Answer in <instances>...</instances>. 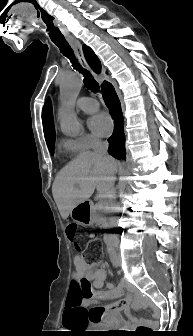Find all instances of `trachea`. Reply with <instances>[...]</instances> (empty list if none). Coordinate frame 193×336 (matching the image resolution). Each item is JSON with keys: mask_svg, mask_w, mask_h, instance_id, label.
Instances as JSON below:
<instances>
[{"mask_svg": "<svg viewBox=\"0 0 193 336\" xmlns=\"http://www.w3.org/2000/svg\"><path fill=\"white\" fill-rule=\"evenodd\" d=\"M52 28V27H51ZM53 43L59 48L60 52L69 57L71 63L73 64L74 68L84 75V85L88 90L93 92H97L99 90V85L93 76L85 69H82L81 66L78 64L76 58L74 57L73 49L70 47L69 43L65 40L60 41H53Z\"/></svg>", "mask_w": 193, "mask_h": 336, "instance_id": "3493384b", "label": "trachea"}]
</instances>
